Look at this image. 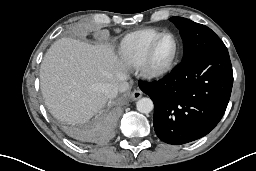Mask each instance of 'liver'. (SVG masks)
<instances>
[{
    "mask_svg": "<svg viewBox=\"0 0 256 171\" xmlns=\"http://www.w3.org/2000/svg\"><path fill=\"white\" fill-rule=\"evenodd\" d=\"M125 63L109 45H91L62 38L46 52L40 67L45 104L58 120L71 124L90 114L107 97L102 86L128 89Z\"/></svg>",
    "mask_w": 256,
    "mask_h": 171,
    "instance_id": "liver-1",
    "label": "liver"
}]
</instances>
